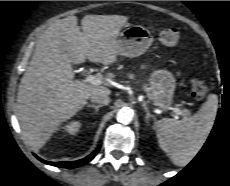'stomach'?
<instances>
[{
  "mask_svg": "<svg viewBox=\"0 0 230 186\" xmlns=\"http://www.w3.org/2000/svg\"><path fill=\"white\" fill-rule=\"evenodd\" d=\"M150 31L143 26H129L120 33L118 39V55L138 57L144 54L152 44ZM150 90L154 103L167 110L173 103L176 79L172 72L166 69H155L149 76Z\"/></svg>",
  "mask_w": 230,
  "mask_h": 186,
  "instance_id": "obj_1",
  "label": "stomach"
}]
</instances>
